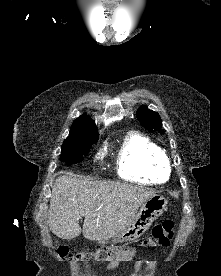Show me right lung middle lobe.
<instances>
[{
    "label": "right lung middle lobe",
    "mask_w": 221,
    "mask_h": 276,
    "mask_svg": "<svg viewBox=\"0 0 221 276\" xmlns=\"http://www.w3.org/2000/svg\"><path fill=\"white\" fill-rule=\"evenodd\" d=\"M96 141L97 140L63 142L60 160L67 165L81 162L88 154L91 145Z\"/></svg>",
    "instance_id": "dd1d6c3e"
}]
</instances>
